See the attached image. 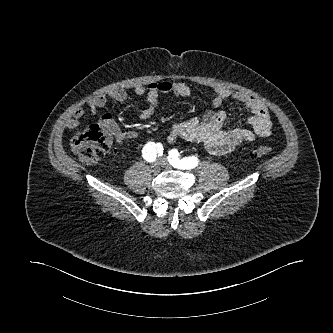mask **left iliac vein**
<instances>
[{
  "mask_svg": "<svg viewBox=\"0 0 333 333\" xmlns=\"http://www.w3.org/2000/svg\"><path fill=\"white\" fill-rule=\"evenodd\" d=\"M161 165L165 168H168L170 166L169 162L167 161V159L165 157L162 158Z\"/></svg>",
  "mask_w": 333,
  "mask_h": 333,
  "instance_id": "left-iliac-vein-1",
  "label": "left iliac vein"
}]
</instances>
